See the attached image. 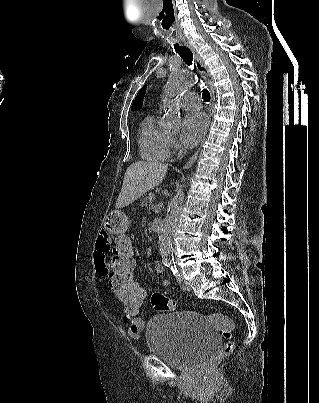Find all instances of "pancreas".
<instances>
[{
    "mask_svg": "<svg viewBox=\"0 0 319 403\" xmlns=\"http://www.w3.org/2000/svg\"><path fill=\"white\" fill-rule=\"evenodd\" d=\"M155 199V194L154 193H149L143 197L142 205L144 207H149L152 205L153 200Z\"/></svg>",
    "mask_w": 319,
    "mask_h": 403,
    "instance_id": "pancreas-1",
    "label": "pancreas"
}]
</instances>
